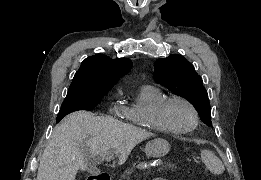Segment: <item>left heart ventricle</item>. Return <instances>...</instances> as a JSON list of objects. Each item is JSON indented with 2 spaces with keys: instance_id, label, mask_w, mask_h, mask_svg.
<instances>
[{
  "instance_id": "obj_1",
  "label": "left heart ventricle",
  "mask_w": 261,
  "mask_h": 180,
  "mask_svg": "<svg viewBox=\"0 0 261 180\" xmlns=\"http://www.w3.org/2000/svg\"><path fill=\"white\" fill-rule=\"evenodd\" d=\"M162 117L175 128L188 127L192 121L190 110L181 104H174L165 108Z\"/></svg>"
}]
</instances>
